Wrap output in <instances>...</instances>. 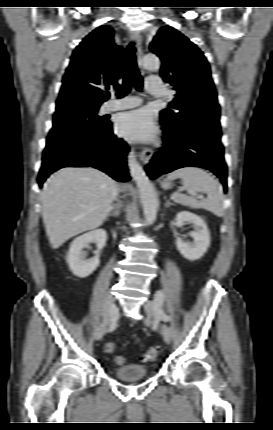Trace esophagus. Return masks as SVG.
Masks as SVG:
<instances>
[{
  "mask_svg": "<svg viewBox=\"0 0 273 430\" xmlns=\"http://www.w3.org/2000/svg\"><path fill=\"white\" fill-rule=\"evenodd\" d=\"M129 37L131 40H133L136 43V47H137V56H138V60L141 61L142 59V37L140 35V33L130 30L129 31ZM141 72L145 73L144 70L141 68ZM152 149L150 147H144L141 154H140V161L144 164L147 165L150 162V159L152 157Z\"/></svg>",
  "mask_w": 273,
  "mask_h": 430,
  "instance_id": "obj_1",
  "label": "esophagus"
}]
</instances>
